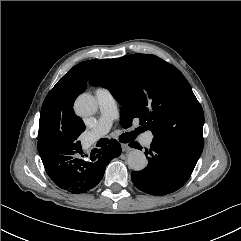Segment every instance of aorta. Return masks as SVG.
<instances>
[{
  "label": "aorta",
  "instance_id": "1",
  "mask_svg": "<svg viewBox=\"0 0 241 241\" xmlns=\"http://www.w3.org/2000/svg\"><path fill=\"white\" fill-rule=\"evenodd\" d=\"M74 108L79 116L87 117L96 113L98 105L93 96L84 93L76 98ZM127 163L132 170L141 171L147 166V158L142 151L133 149L128 154Z\"/></svg>",
  "mask_w": 241,
  "mask_h": 241
}]
</instances>
